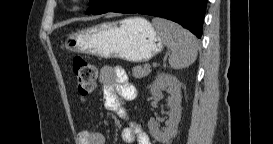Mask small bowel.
Here are the masks:
<instances>
[{"label": "small bowel", "mask_w": 273, "mask_h": 144, "mask_svg": "<svg viewBox=\"0 0 273 144\" xmlns=\"http://www.w3.org/2000/svg\"><path fill=\"white\" fill-rule=\"evenodd\" d=\"M99 80L103 86L105 107L129 123V126L121 132L122 142L151 144L148 135L130 118L123 107L125 102L132 101L136 96L135 89L130 84L125 71L118 67L105 66L100 70ZM77 139L79 144L106 143V136L99 131H80Z\"/></svg>", "instance_id": "1"}]
</instances>
